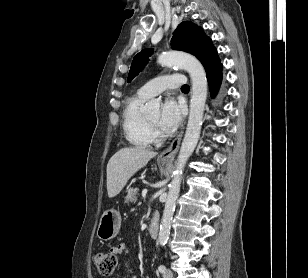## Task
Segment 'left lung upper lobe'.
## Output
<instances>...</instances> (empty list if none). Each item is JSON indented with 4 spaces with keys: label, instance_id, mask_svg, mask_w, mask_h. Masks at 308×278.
<instances>
[{
    "label": "left lung upper lobe",
    "instance_id": "obj_1",
    "mask_svg": "<svg viewBox=\"0 0 308 278\" xmlns=\"http://www.w3.org/2000/svg\"><path fill=\"white\" fill-rule=\"evenodd\" d=\"M171 47L174 50L185 51L196 56L204 66L206 72L221 62L211 39L204 34L201 27L189 21L182 22L178 25L173 33ZM151 54L152 50L145 49L134 57L127 82H131L139 74L141 69L146 66L148 62L147 58Z\"/></svg>",
    "mask_w": 308,
    "mask_h": 278
}]
</instances>
